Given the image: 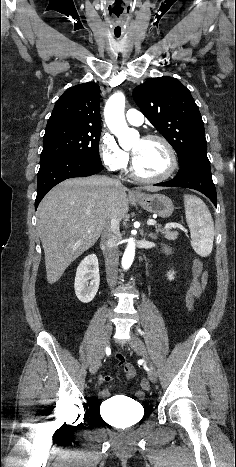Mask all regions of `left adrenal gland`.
I'll list each match as a JSON object with an SVG mask.
<instances>
[{"mask_svg":"<svg viewBox=\"0 0 236 467\" xmlns=\"http://www.w3.org/2000/svg\"><path fill=\"white\" fill-rule=\"evenodd\" d=\"M148 236H149L151 239H154V240L157 239V236H156L155 234H153V233H150Z\"/></svg>","mask_w":236,"mask_h":467,"instance_id":"left-adrenal-gland-1","label":"left adrenal gland"}]
</instances>
